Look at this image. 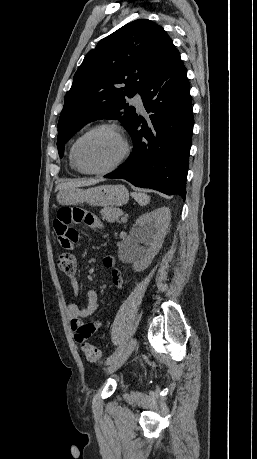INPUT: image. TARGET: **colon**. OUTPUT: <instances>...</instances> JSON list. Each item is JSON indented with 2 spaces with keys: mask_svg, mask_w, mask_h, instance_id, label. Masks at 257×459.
Returning <instances> with one entry per match:
<instances>
[{
  "mask_svg": "<svg viewBox=\"0 0 257 459\" xmlns=\"http://www.w3.org/2000/svg\"><path fill=\"white\" fill-rule=\"evenodd\" d=\"M57 265L60 271H62L65 274L72 275L76 271V258L74 254L71 252H63L57 258ZM82 350L88 361L93 363L102 362L101 353L96 346L89 343H84L82 345Z\"/></svg>",
  "mask_w": 257,
  "mask_h": 459,
  "instance_id": "1",
  "label": "colon"
}]
</instances>
